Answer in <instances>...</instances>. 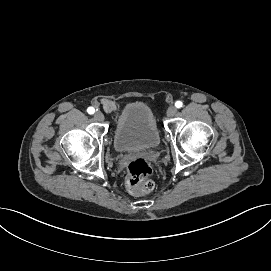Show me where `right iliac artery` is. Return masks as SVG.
I'll return each mask as SVG.
<instances>
[{
	"instance_id": "82829eb1",
	"label": "right iliac artery",
	"mask_w": 271,
	"mask_h": 271,
	"mask_svg": "<svg viewBox=\"0 0 271 271\" xmlns=\"http://www.w3.org/2000/svg\"><path fill=\"white\" fill-rule=\"evenodd\" d=\"M87 112H88L89 114H93V113L95 112V109H94L93 107H89V108L87 109Z\"/></svg>"
}]
</instances>
